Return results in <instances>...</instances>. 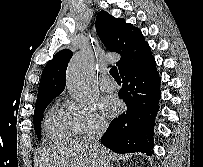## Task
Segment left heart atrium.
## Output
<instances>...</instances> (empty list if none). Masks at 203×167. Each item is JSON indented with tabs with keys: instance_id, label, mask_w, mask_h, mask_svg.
I'll use <instances>...</instances> for the list:
<instances>
[{
	"instance_id": "left-heart-atrium-1",
	"label": "left heart atrium",
	"mask_w": 203,
	"mask_h": 167,
	"mask_svg": "<svg viewBox=\"0 0 203 167\" xmlns=\"http://www.w3.org/2000/svg\"><path fill=\"white\" fill-rule=\"evenodd\" d=\"M100 106L103 113L107 116H114L120 108L119 102L111 96L102 98Z\"/></svg>"
}]
</instances>
